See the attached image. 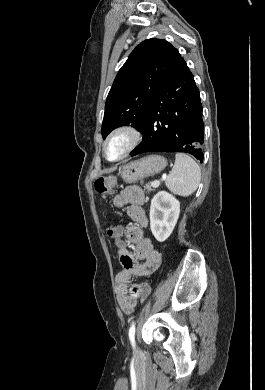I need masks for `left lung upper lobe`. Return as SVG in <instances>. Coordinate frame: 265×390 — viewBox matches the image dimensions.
<instances>
[{"label": "left lung upper lobe", "mask_w": 265, "mask_h": 390, "mask_svg": "<svg viewBox=\"0 0 265 390\" xmlns=\"http://www.w3.org/2000/svg\"><path fill=\"white\" fill-rule=\"evenodd\" d=\"M181 58L163 39L140 43L119 70L105 103L102 137L131 123L142 132L150 104Z\"/></svg>", "instance_id": "1"}]
</instances>
